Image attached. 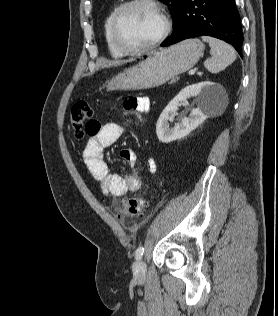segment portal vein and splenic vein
Returning a JSON list of instances; mask_svg holds the SVG:
<instances>
[{
  "mask_svg": "<svg viewBox=\"0 0 278 316\" xmlns=\"http://www.w3.org/2000/svg\"><path fill=\"white\" fill-rule=\"evenodd\" d=\"M195 71H196V69H191V70H189L188 74H189V75H194V74H195Z\"/></svg>",
  "mask_w": 278,
  "mask_h": 316,
  "instance_id": "obj_1",
  "label": "portal vein and splenic vein"
}]
</instances>
